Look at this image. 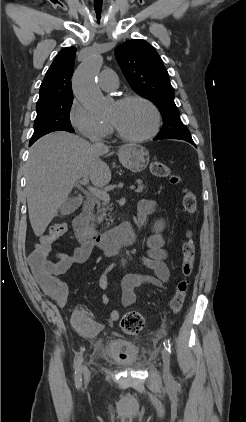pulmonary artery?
Listing matches in <instances>:
<instances>
[{
  "label": "pulmonary artery",
  "instance_id": "pulmonary-artery-1",
  "mask_svg": "<svg viewBox=\"0 0 246 422\" xmlns=\"http://www.w3.org/2000/svg\"><path fill=\"white\" fill-rule=\"evenodd\" d=\"M98 84L105 91H113L118 87V79L114 71L106 69L100 73Z\"/></svg>",
  "mask_w": 246,
  "mask_h": 422
}]
</instances>
